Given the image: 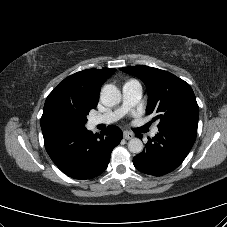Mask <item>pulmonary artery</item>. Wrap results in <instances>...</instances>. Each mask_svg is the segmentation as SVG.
<instances>
[{
  "label": "pulmonary artery",
  "instance_id": "pulmonary-artery-1",
  "mask_svg": "<svg viewBox=\"0 0 227 227\" xmlns=\"http://www.w3.org/2000/svg\"><path fill=\"white\" fill-rule=\"evenodd\" d=\"M142 85L137 80H128L122 87V105L111 112L96 115L90 119V125L111 124L119 120L126 112L136 106L142 98ZM158 133V128L154 127L151 136Z\"/></svg>",
  "mask_w": 227,
  "mask_h": 227
}]
</instances>
